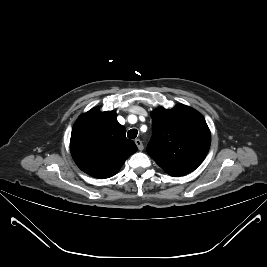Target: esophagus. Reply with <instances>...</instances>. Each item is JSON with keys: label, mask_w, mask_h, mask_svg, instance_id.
Wrapping results in <instances>:
<instances>
[{"label": "esophagus", "mask_w": 267, "mask_h": 267, "mask_svg": "<svg viewBox=\"0 0 267 267\" xmlns=\"http://www.w3.org/2000/svg\"><path fill=\"white\" fill-rule=\"evenodd\" d=\"M135 144L137 145V147L140 151H142L144 149V146H143L142 141L140 139H136Z\"/></svg>", "instance_id": "1"}]
</instances>
